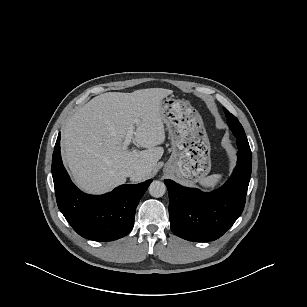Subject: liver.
Returning <instances> with one entry per match:
<instances>
[{
    "instance_id": "obj_1",
    "label": "liver",
    "mask_w": 307,
    "mask_h": 307,
    "mask_svg": "<svg viewBox=\"0 0 307 307\" xmlns=\"http://www.w3.org/2000/svg\"><path fill=\"white\" fill-rule=\"evenodd\" d=\"M172 93L163 88L108 92L77 110L61 138L62 157L76 185L88 193H105L126 182L128 168L139 171L133 182L147 179L164 153L159 146L165 141L161 103ZM130 127L135 143L145 150L123 147Z\"/></svg>"
}]
</instances>
